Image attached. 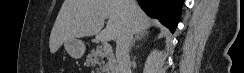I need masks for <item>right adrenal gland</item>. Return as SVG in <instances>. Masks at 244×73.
Wrapping results in <instances>:
<instances>
[{"label":"right adrenal gland","instance_id":"obj_1","mask_svg":"<svg viewBox=\"0 0 244 73\" xmlns=\"http://www.w3.org/2000/svg\"><path fill=\"white\" fill-rule=\"evenodd\" d=\"M145 36H147V35H145V34H142V35H138L137 34V35H135L134 39L131 42L130 49L135 45L136 41H141L142 39L145 38Z\"/></svg>","mask_w":244,"mask_h":73}]
</instances>
